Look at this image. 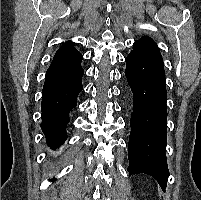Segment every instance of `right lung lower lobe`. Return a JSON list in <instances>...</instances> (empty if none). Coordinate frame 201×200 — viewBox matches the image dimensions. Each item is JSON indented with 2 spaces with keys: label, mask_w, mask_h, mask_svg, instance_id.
<instances>
[{
  "label": "right lung lower lobe",
  "mask_w": 201,
  "mask_h": 200,
  "mask_svg": "<svg viewBox=\"0 0 201 200\" xmlns=\"http://www.w3.org/2000/svg\"><path fill=\"white\" fill-rule=\"evenodd\" d=\"M83 74L84 70L80 65L69 73L45 79L42 90L41 129L46 143L52 149L62 145L67 138L69 112L76 106L77 96L83 89Z\"/></svg>",
  "instance_id": "obj_1"
}]
</instances>
